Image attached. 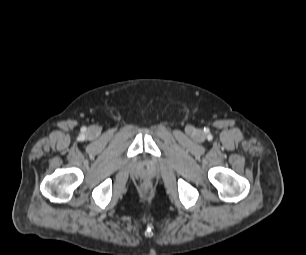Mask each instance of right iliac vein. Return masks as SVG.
Wrapping results in <instances>:
<instances>
[{
	"label": "right iliac vein",
	"instance_id": "63e3f726",
	"mask_svg": "<svg viewBox=\"0 0 306 255\" xmlns=\"http://www.w3.org/2000/svg\"><path fill=\"white\" fill-rule=\"evenodd\" d=\"M99 133H100V130L96 126H93L89 129V135L92 136V137H95V136L99 135Z\"/></svg>",
	"mask_w": 306,
	"mask_h": 255
}]
</instances>
